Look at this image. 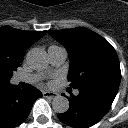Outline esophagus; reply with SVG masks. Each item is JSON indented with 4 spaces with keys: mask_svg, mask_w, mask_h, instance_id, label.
I'll use <instances>...</instances> for the list:
<instances>
[{
    "mask_svg": "<svg viewBox=\"0 0 128 128\" xmlns=\"http://www.w3.org/2000/svg\"><path fill=\"white\" fill-rule=\"evenodd\" d=\"M56 96H57V93H55V92H50V91H44L43 92V97H45V98H51V99H53Z\"/></svg>",
    "mask_w": 128,
    "mask_h": 128,
    "instance_id": "34e87169",
    "label": "esophagus"
}]
</instances>
